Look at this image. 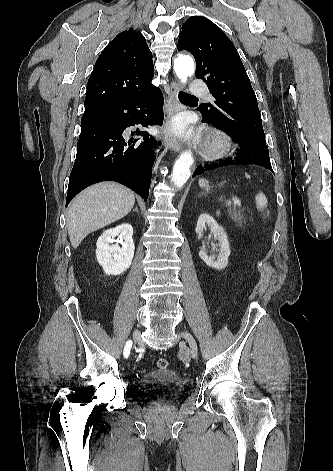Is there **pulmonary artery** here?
Instances as JSON below:
<instances>
[{
	"label": "pulmonary artery",
	"instance_id": "pulmonary-artery-1",
	"mask_svg": "<svg viewBox=\"0 0 333 471\" xmlns=\"http://www.w3.org/2000/svg\"><path fill=\"white\" fill-rule=\"evenodd\" d=\"M190 93L196 96L209 95L205 83L198 79L193 80L190 87Z\"/></svg>",
	"mask_w": 333,
	"mask_h": 471
}]
</instances>
